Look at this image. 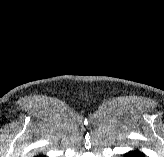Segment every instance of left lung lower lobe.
Here are the masks:
<instances>
[{"label": "left lung lower lobe", "instance_id": "left-lung-lower-lobe-1", "mask_svg": "<svg viewBox=\"0 0 164 157\" xmlns=\"http://www.w3.org/2000/svg\"><path fill=\"white\" fill-rule=\"evenodd\" d=\"M124 157H145L143 153L139 151H131L127 153Z\"/></svg>", "mask_w": 164, "mask_h": 157}]
</instances>
